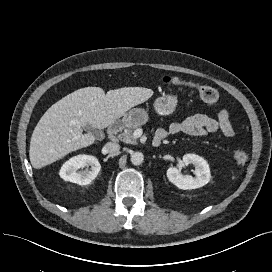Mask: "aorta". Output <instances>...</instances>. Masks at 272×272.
Listing matches in <instances>:
<instances>
[{"mask_svg":"<svg viewBox=\"0 0 272 272\" xmlns=\"http://www.w3.org/2000/svg\"><path fill=\"white\" fill-rule=\"evenodd\" d=\"M133 165H140L144 160V155L141 152H134L130 156Z\"/></svg>","mask_w":272,"mask_h":272,"instance_id":"obj_1","label":"aorta"}]
</instances>
